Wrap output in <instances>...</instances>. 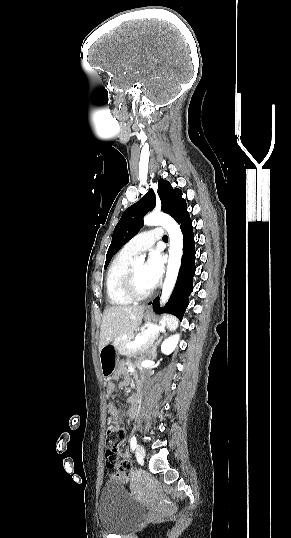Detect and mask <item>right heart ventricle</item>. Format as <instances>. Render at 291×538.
Listing matches in <instances>:
<instances>
[{"label":"right heart ventricle","mask_w":291,"mask_h":538,"mask_svg":"<svg viewBox=\"0 0 291 538\" xmlns=\"http://www.w3.org/2000/svg\"><path fill=\"white\" fill-rule=\"evenodd\" d=\"M134 254L120 250L110 263L106 276V293L109 302L115 306L129 305L133 300L126 295L123 288L124 276L130 267V260Z\"/></svg>","instance_id":"1"}]
</instances>
